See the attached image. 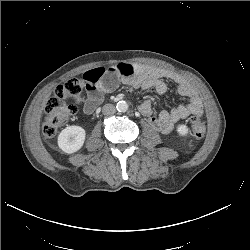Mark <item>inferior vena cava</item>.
Segmentation results:
<instances>
[{"label":"inferior vena cava","mask_w":250,"mask_h":250,"mask_svg":"<svg viewBox=\"0 0 250 250\" xmlns=\"http://www.w3.org/2000/svg\"><path fill=\"white\" fill-rule=\"evenodd\" d=\"M104 115H112L116 112L115 106L112 104H106L103 106L102 110Z\"/></svg>","instance_id":"inferior-vena-cava-1"}]
</instances>
